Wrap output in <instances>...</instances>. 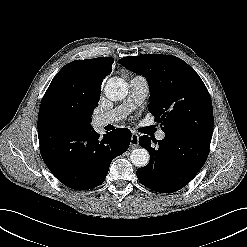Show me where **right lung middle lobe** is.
Here are the masks:
<instances>
[{
  "instance_id": "1",
  "label": "right lung middle lobe",
  "mask_w": 247,
  "mask_h": 247,
  "mask_svg": "<svg viewBox=\"0 0 247 247\" xmlns=\"http://www.w3.org/2000/svg\"><path fill=\"white\" fill-rule=\"evenodd\" d=\"M76 69L65 65L48 87L39 109L38 122H46L70 131H82L91 123L98 101L75 84Z\"/></svg>"
}]
</instances>
